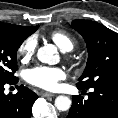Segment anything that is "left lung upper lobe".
<instances>
[{
	"instance_id": "left-lung-upper-lobe-1",
	"label": "left lung upper lobe",
	"mask_w": 118,
	"mask_h": 118,
	"mask_svg": "<svg viewBox=\"0 0 118 118\" xmlns=\"http://www.w3.org/2000/svg\"><path fill=\"white\" fill-rule=\"evenodd\" d=\"M72 27L84 38L88 60L78 88L118 85V34L90 20H73Z\"/></svg>"
}]
</instances>
